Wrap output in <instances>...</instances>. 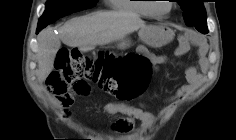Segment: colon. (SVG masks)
I'll list each match as a JSON object with an SVG mask.
<instances>
[{
  "label": "colon",
  "instance_id": "1",
  "mask_svg": "<svg viewBox=\"0 0 236 140\" xmlns=\"http://www.w3.org/2000/svg\"><path fill=\"white\" fill-rule=\"evenodd\" d=\"M151 71V63L143 56H115L105 52L89 58L76 48H63L57 54L47 86L60 102L87 95L88 82L98 83L106 92L125 101L145 91Z\"/></svg>",
  "mask_w": 236,
  "mask_h": 140
}]
</instances>
